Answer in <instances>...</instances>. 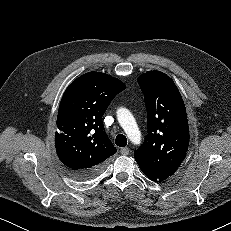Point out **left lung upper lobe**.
<instances>
[{
	"mask_svg": "<svg viewBox=\"0 0 231 231\" xmlns=\"http://www.w3.org/2000/svg\"><path fill=\"white\" fill-rule=\"evenodd\" d=\"M147 109L148 134L134 152L137 162L171 176L186 156L189 128L186 108L174 81L160 71L138 78Z\"/></svg>",
	"mask_w": 231,
	"mask_h": 231,
	"instance_id": "5c2ea615",
	"label": "left lung upper lobe"
}]
</instances>
